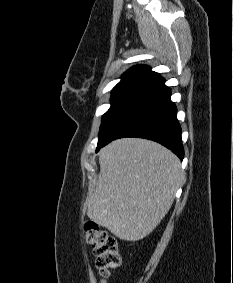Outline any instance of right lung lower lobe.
Instances as JSON below:
<instances>
[{
  "label": "right lung lower lobe",
  "instance_id": "98d812e1",
  "mask_svg": "<svg viewBox=\"0 0 233 283\" xmlns=\"http://www.w3.org/2000/svg\"><path fill=\"white\" fill-rule=\"evenodd\" d=\"M170 96L171 90L165 85L164 78L153 81L134 101L97 151L112 140L139 137L164 145L182 160L184 148L181 127L176 106Z\"/></svg>",
  "mask_w": 233,
  "mask_h": 283
}]
</instances>
